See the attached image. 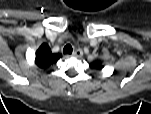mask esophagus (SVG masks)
I'll return each instance as SVG.
<instances>
[{"mask_svg":"<svg viewBox=\"0 0 151 114\" xmlns=\"http://www.w3.org/2000/svg\"><path fill=\"white\" fill-rule=\"evenodd\" d=\"M74 57H82L83 55V51L81 49H76L73 54H72Z\"/></svg>","mask_w":151,"mask_h":114,"instance_id":"1","label":"esophagus"}]
</instances>
